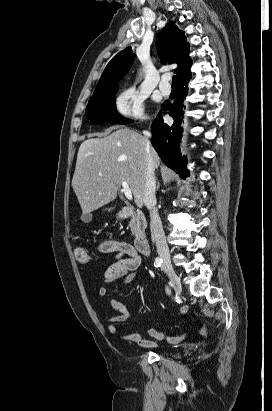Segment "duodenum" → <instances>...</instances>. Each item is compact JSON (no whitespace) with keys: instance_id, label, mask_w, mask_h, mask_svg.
Listing matches in <instances>:
<instances>
[{"instance_id":"410a0bca","label":"duodenum","mask_w":272,"mask_h":411,"mask_svg":"<svg viewBox=\"0 0 272 411\" xmlns=\"http://www.w3.org/2000/svg\"><path fill=\"white\" fill-rule=\"evenodd\" d=\"M134 214V210L131 207H123L118 210V216L120 219H125ZM134 248L137 252H140L144 255L149 254V243L146 234L137 233L134 236Z\"/></svg>"}]
</instances>
